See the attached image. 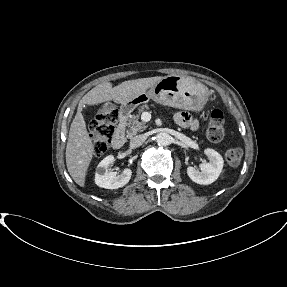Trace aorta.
I'll return each mask as SVG.
<instances>
[{"label":"aorta","instance_id":"1","mask_svg":"<svg viewBox=\"0 0 287 287\" xmlns=\"http://www.w3.org/2000/svg\"><path fill=\"white\" fill-rule=\"evenodd\" d=\"M155 140L159 146H168L171 144L172 137L166 132H160Z\"/></svg>","mask_w":287,"mask_h":287}]
</instances>
